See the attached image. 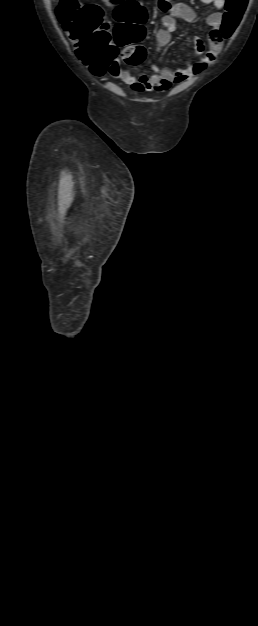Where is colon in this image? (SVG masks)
<instances>
[{
	"mask_svg": "<svg viewBox=\"0 0 258 626\" xmlns=\"http://www.w3.org/2000/svg\"><path fill=\"white\" fill-rule=\"evenodd\" d=\"M103 1L117 7V24L112 30L98 4L59 0L56 7V16L73 43L76 55L95 75L108 71L121 47L125 48L122 58L128 64H140L146 56L145 48L137 43L144 36L146 9L137 0ZM247 3L248 0H225L221 23L224 38H229L239 25Z\"/></svg>",
	"mask_w": 258,
	"mask_h": 626,
	"instance_id": "obj_1",
	"label": "colon"
}]
</instances>
